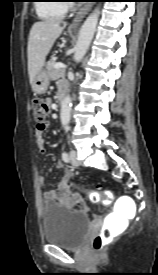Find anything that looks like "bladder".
Segmentation results:
<instances>
[{
  "instance_id": "obj_1",
  "label": "bladder",
  "mask_w": 158,
  "mask_h": 275,
  "mask_svg": "<svg viewBox=\"0 0 158 275\" xmlns=\"http://www.w3.org/2000/svg\"><path fill=\"white\" fill-rule=\"evenodd\" d=\"M43 234L47 243L64 249L79 248L88 235L90 217L86 213L49 202L43 206Z\"/></svg>"
}]
</instances>
